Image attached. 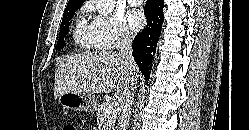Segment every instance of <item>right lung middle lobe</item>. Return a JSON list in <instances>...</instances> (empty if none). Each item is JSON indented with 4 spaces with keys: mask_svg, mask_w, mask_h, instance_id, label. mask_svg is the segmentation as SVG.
I'll list each match as a JSON object with an SVG mask.
<instances>
[{
    "mask_svg": "<svg viewBox=\"0 0 249 130\" xmlns=\"http://www.w3.org/2000/svg\"><path fill=\"white\" fill-rule=\"evenodd\" d=\"M80 8V5L78 4H70L67 5L64 14H63V19L62 23L60 25V38L58 39L56 49L58 48H63L65 43H64V37L66 36L68 29H69V20L73 17L75 14V11Z\"/></svg>",
    "mask_w": 249,
    "mask_h": 130,
    "instance_id": "obj_1",
    "label": "right lung middle lobe"
}]
</instances>
